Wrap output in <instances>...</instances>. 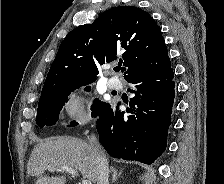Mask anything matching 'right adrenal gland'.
<instances>
[{
    "instance_id": "obj_1",
    "label": "right adrenal gland",
    "mask_w": 224,
    "mask_h": 184,
    "mask_svg": "<svg viewBox=\"0 0 224 184\" xmlns=\"http://www.w3.org/2000/svg\"><path fill=\"white\" fill-rule=\"evenodd\" d=\"M111 172H112V183H114L117 178L121 175V171L118 173L116 168L114 166H111Z\"/></svg>"
}]
</instances>
